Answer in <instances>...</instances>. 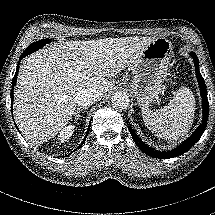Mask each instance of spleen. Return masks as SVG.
Returning <instances> with one entry per match:
<instances>
[{"label":"spleen","instance_id":"spleen-1","mask_svg":"<svg viewBox=\"0 0 215 215\" xmlns=\"http://www.w3.org/2000/svg\"><path fill=\"white\" fill-rule=\"evenodd\" d=\"M194 99L188 88L173 93L170 103L162 109L143 108L144 123L157 137L168 140L183 138L194 118Z\"/></svg>","mask_w":215,"mask_h":215}]
</instances>
